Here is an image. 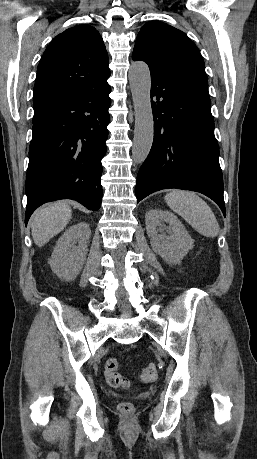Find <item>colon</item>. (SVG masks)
Here are the masks:
<instances>
[{
    "mask_svg": "<svg viewBox=\"0 0 257 459\" xmlns=\"http://www.w3.org/2000/svg\"><path fill=\"white\" fill-rule=\"evenodd\" d=\"M118 362L115 358H109L104 365V375L111 387L127 388L131 384V380L125 378L118 372ZM157 377V368L154 363H148L144 366L140 373V380L145 383L152 382ZM120 411L125 415H131L134 412V407L129 402H123L119 406Z\"/></svg>",
    "mask_w": 257,
    "mask_h": 459,
    "instance_id": "5ec220e1",
    "label": "colon"
}]
</instances>
